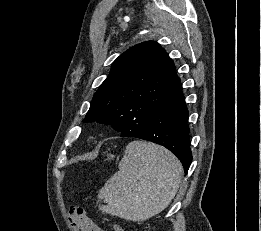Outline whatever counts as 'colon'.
I'll return each mask as SVG.
<instances>
[{"mask_svg":"<svg viewBox=\"0 0 261 231\" xmlns=\"http://www.w3.org/2000/svg\"><path fill=\"white\" fill-rule=\"evenodd\" d=\"M68 220L71 224L80 228V231H87L93 226V222L87 215V212L84 208L78 206L70 207L68 211ZM114 231H124L123 227L115 223Z\"/></svg>","mask_w":261,"mask_h":231,"instance_id":"1","label":"colon"}]
</instances>
